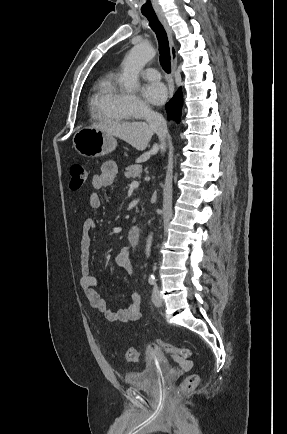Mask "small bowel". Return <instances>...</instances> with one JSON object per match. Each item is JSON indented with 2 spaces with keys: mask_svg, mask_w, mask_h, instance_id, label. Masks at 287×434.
I'll return each instance as SVG.
<instances>
[{
  "mask_svg": "<svg viewBox=\"0 0 287 434\" xmlns=\"http://www.w3.org/2000/svg\"><path fill=\"white\" fill-rule=\"evenodd\" d=\"M117 175V165L114 161H104L101 164L100 172L94 174L91 178V186L96 190H102L109 187ZM102 205L101 197L97 193H91L88 196V206L92 210H98ZM97 229V224L93 219H87L82 226V232L79 238L80 255V286L90 304V306L104 314L110 322H131L139 319L141 315V297L138 293L130 296L129 305L119 311L111 310L107 302L94 290V287L100 283V279L90 273L89 259L91 247V232ZM130 248H123L114 258V265L130 274L132 263L130 258ZM186 370L192 367L191 362L183 364Z\"/></svg>",
  "mask_w": 287,
  "mask_h": 434,
  "instance_id": "c3829d8e",
  "label": "small bowel"
}]
</instances>
